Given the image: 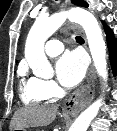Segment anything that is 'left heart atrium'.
Returning <instances> with one entry per match:
<instances>
[{"label":"left heart atrium","mask_w":117,"mask_h":131,"mask_svg":"<svg viewBox=\"0 0 117 131\" xmlns=\"http://www.w3.org/2000/svg\"><path fill=\"white\" fill-rule=\"evenodd\" d=\"M86 72V59L78 51H70L62 55L56 63L57 78L66 87L77 85Z\"/></svg>","instance_id":"1"}]
</instances>
